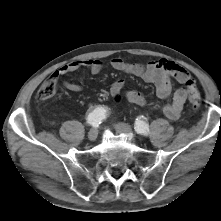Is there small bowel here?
Returning a JSON list of instances; mask_svg holds the SVG:
<instances>
[{"label":"small bowel","instance_id":"small-bowel-1","mask_svg":"<svg viewBox=\"0 0 221 221\" xmlns=\"http://www.w3.org/2000/svg\"><path fill=\"white\" fill-rule=\"evenodd\" d=\"M110 65L115 70L138 76L145 82L153 84L155 93L159 98L166 99L170 97V100L163 107L164 114L172 120L180 116L188 98L185 82L187 80L193 81L192 77L183 67L166 59H158L146 64H140L126 62L121 57L113 58L110 61ZM81 67H87L92 74H99L103 70L104 64L98 59L78 60L60 67L53 72L52 77L58 79L61 76L77 71ZM171 77H174L185 86L173 90ZM63 85L71 92H79L81 90V86L75 82L65 81ZM123 87L124 80L117 79L110 87L111 95L120 94ZM125 98L131 105H146L145 97L136 90H127Z\"/></svg>","mask_w":221,"mask_h":221}]
</instances>
